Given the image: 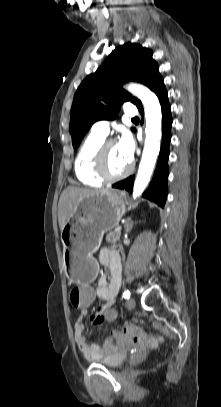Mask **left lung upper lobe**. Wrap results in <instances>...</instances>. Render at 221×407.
<instances>
[{"label": "left lung upper lobe", "instance_id": "obj_1", "mask_svg": "<svg viewBox=\"0 0 221 407\" xmlns=\"http://www.w3.org/2000/svg\"><path fill=\"white\" fill-rule=\"evenodd\" d=\"M152 54L141 45L126 43L113 50L97 71L83 80L71 108L69 130L74 148L96 121L115 119L123 102L131 101L137 108L142 105L122 85L137 81L154 89L162 77Z\"/></svg>", "mask_w": 221, "mask_h": 407}]
</instances>
